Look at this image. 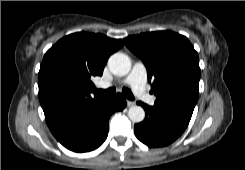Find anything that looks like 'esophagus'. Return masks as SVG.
<instances>
[{
  "mask_svg": "<svg viewBox=\"0 0 245 170\" xmlns=\"http://www.w3.org/2000/svg\"><path fill=\"white\" fill-rule=\"evenodd\" d=\"M134 105H135V103L133 101L127 100V106L128 107H132Z\"/></svg>",
  "mask_w": 245,
  "mask_h": 170,
  "instance_id": "esophagus-1",
  "label": "esophagus"
}]
</instances>
